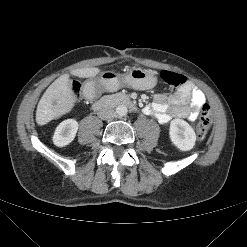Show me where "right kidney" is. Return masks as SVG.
I'll list each match as a JSON object with an SVG mask.
<instances>
[{
  "instance_id": "ca27d5eb",
  "label": "right kidney",
  "mask_w": 247,
  "mask_h": 247,
  "mask_svg": "<svg viewBox=\"0 0 247 247\" xmlns=\"http://www.w3.org/2000/svg\"><path fill=\"white\" fill-rule=\"evenodd\" d=\"M78 122L74 119H67L62 121L56 128L53 135V143L58 147H64L70 144L77 133Z\"/></svg>"
}]
</instances>
